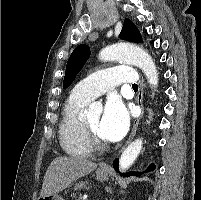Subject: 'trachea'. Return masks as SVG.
<instances>
[{"label": "trachea", "instance_id": "1", "mask_svg": "<svg viewBox=\"0 0 201 200\" xmlns=\"http://www.w3.org/2000/svg\"><path fill=\"white\" fill-rule=\"evenodd\" d=\"M132 88H133V89H138L137 84H133V85H132Z\"/></svg>", "mask_w": 201, "mask_h": 200}]
</instances>
